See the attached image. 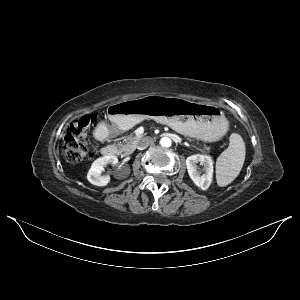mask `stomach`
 Returning a JSON list of instances; mask_svg holds the SVG:
<instances>
[{
    "mask_svg": "<svg viewBox=\"0 0 300 300\" xmlns=\"http://www.w3.org/2000/svg\"><path fill=\"white\" fill-rule=\"evenodd\" d=\"M110 134L126 131L144 119H154L185 135L207 142L220 140L228 130L224 112L217 106L178 97L149 95L121 101L107 108Z\"/></svg>",
    "mask_w": 300,
    "mask_h": 300,
    "instance_id": "obj_1",
    "label": "stomach"
}]
</instances>
